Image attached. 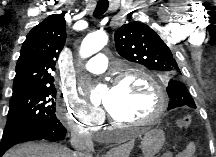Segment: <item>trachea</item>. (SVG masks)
Listing matches in <instances>:
<instances>
[{"label":"trachea","instance_id":"1","mask_svg":"<svg viewBox=\"0 0 216 157\" xmlns=\"http://www.w3.org/2000/svg\"><path fill=\"white\" fill-rule=\"evenodd\" d=\"M108 7H109V2L107 0H99L97 2L93 15L95 17L101 16L107 11Z\"/></svg>","mask_w":216,"mask_h":157}]
</instances>
